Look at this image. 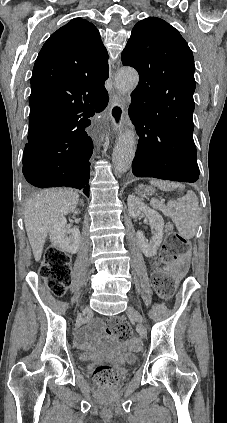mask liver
Wrapping results in <instances>:
<instances>
[{"label":"liver","instance_id":"6515ba94","mask_svg":"<svg viewBox=\"0 0 227 423\" xmlns=\"http://www.w3.org/2000/svg\"><path fill=\"white\" fill-rule=\"evenodd\" d=\"M79 194L73 190H43L26 202L24 223L35 261H40L46 237L62 215L75 210Z\"/></svg>","mask_w":227,"mask_h":423}]
</instances>
